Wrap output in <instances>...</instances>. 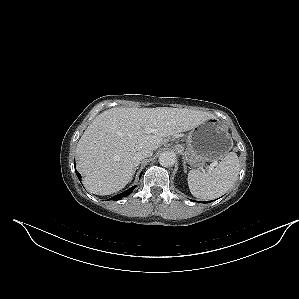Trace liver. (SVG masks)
I'll use <instances>...</instances> for the list:
<instances>
[{
  "label": "liver",
  "instance_id": "6515ba94",
  "mask_svg": "<svg viewBox=\"0 0 299 299\" xmlns=\"http://www.w3.org/2000/svg\"><path fill=\"white\" fill-rule=\"evenodd\" d=\"M211 118L215 117L209 112L169 107H116L102 112L87 127L76 148L84 186L97 195L121 190L135 173L136 152L157 150L163 138L189 131ZM148 128L153 132L148 133Z\"/></svg>",
  "mask_w": 299,
  "mask_h": 299
}]
</instances>
